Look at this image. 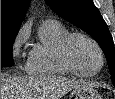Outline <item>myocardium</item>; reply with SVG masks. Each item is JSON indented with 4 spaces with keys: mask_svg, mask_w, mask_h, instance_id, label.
<instances>
[{
    "mask_svg": "<svg viewBox=\"0 0 115 99\" xmlns=\"http://www.w3.org/2000/svg\"><path fill=\"white\" fill-rule=\"evenodd\" d=\"M76 38H82L90 42L97 50L99 57H100V65L99 67L93 72H85L80 70L75 64L73 63L70 54H69V47L71 42ZM59 57L62 63L74 74L82 76V77H92L97 75L104 67L105 64V56L104 52L99 45V43L90 35L82 32H74L68 34L61 42L59 47Z\"/></svg>",
    "mask_w": 115,
    "mask_h": 99,
    "instance_id": "1",
    "label": "myocardium"
}]
</instances>
